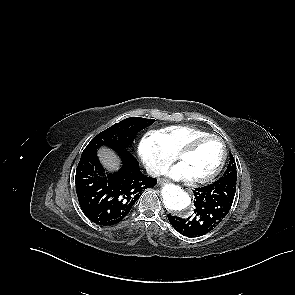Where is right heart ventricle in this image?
Returning a JSON list of instances; mask_svg holds the SVG:
<instances>
[{"label":"right heart ventricle","mask_w":295,"mask_h":295,"mask_svg":"<svg viewBox=\"0 0 295 295\" xmlns=\"http://www.w3.org/2000/svg\"><path fill=\"white\" fill-rule=\"evenodd\" d=\"M164 147L176 154L191 139L208 134L204 129L189 125H171L157 131Z\"/></svg>","instance_id":"e07e8e85"}]
</instances>
